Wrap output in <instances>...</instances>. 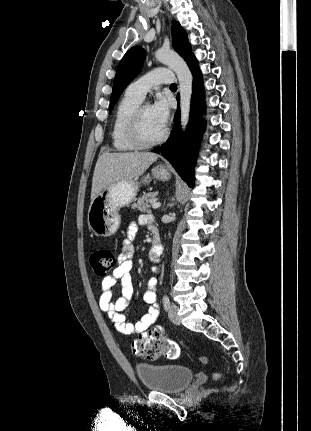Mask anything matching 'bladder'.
<instances>
[{
    "mask_svg": "<svg viewBox=\"0 0 311 431\" xmlns=\"http://www.w3.org/2000/svg\"><path fill=\"white\" fill-rule=\"evenodd\" d=\"M135 372L145 389L160 393L181 392L194 377L189 367L180 364L139 363L135 366Z\"/></svg>",
    "mask_w": 311,
    "mask_h": 431,
    "instance_id": "1",
    "label": "bladder"
}]
</instances>
